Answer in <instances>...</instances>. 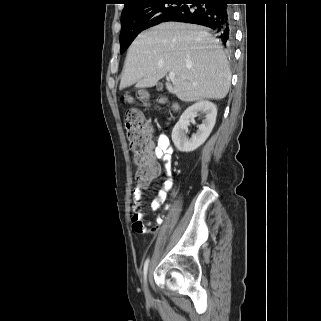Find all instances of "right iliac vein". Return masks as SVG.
Listing matches in <instances>:
<instances>
[{"mask_svg":"<svg viewBox=\"0 0 321 321\" xmlns=\"http://www.w3.org/2000/svg\"><path fill=\"white\" fill-rule=\"evenodd\" d=\"M145 292H146V295L149 296V291H148L147 285L145 286Z\"/></svg>","mask_w":321,"mask_h":321,"instance_id":"obj_1","label":"right iliac vein"}]
</instances>
